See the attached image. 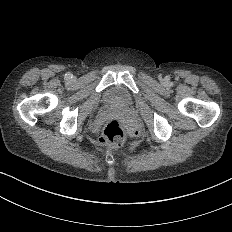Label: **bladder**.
Wrapping results in <instances>:
<instances>
[{
    "label": "bladder",
    "instance_id": "bladder-1",
    "mask_svg": "<svg viewBox=\"0 0 232 232\" xmlns=\"http://www.w3.org/2000/svg\"><path fill=\"white\" fill-rule=\"evenodd\" d=\"M104 100L113 106L127 108L132 103L131 95L121 87H111L104 95Z\"/></svg>",
    "mask_w": 232,
    "mask_h": 232
}]
</instances>
